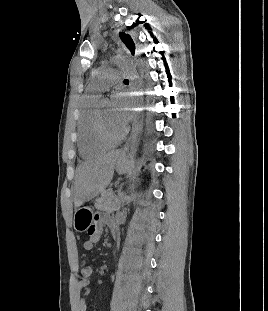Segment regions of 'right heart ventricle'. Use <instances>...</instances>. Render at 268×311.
Returning <instances> with one entry per match:
<instances>
[{
	"instance_id": "right-heart-ventricle-1",
	"label": "right heart ventricle",
	"mask_w": 268,
	"mask_h": 311,
	"mask_svg": "<svg viewBox=\"0 0 268 311\" xmlns=\"http://www.w3.org/2000/svg\"><path fill=\"white\" fill-rule=\"evenodd\" d=\"M98 95L89 94L82 100L77 118L78 149L84 158L96 156L111 145L101 142L95 133V116Z\"/></svg>"
}]
</instances>
